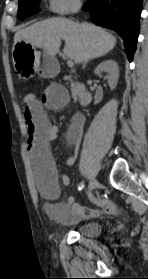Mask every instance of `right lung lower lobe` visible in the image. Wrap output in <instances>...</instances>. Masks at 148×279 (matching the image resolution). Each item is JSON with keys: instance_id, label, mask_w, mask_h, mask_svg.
Listing matches in <instances>:
<instances>
[{"instance_id": "98d812e1", "label": "right lung lower lobe", "mask_w": 148, "mask_h": 279, "mask_svg": "<svg viewBox=\"0 0 148 279\" xmlns=\"http://www.w3.org/2000/svg\"><path fill=\"white\" fill-rule=\"evenodd\" d=\"M143 0H89L84 10L95 24L115 30L124 40L131 62L139 35V19Z\"/></svg>"}]
</instances>
